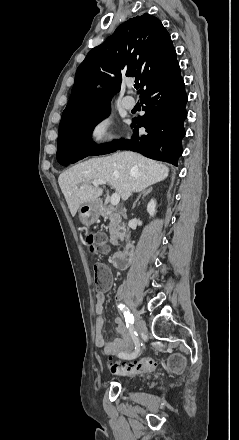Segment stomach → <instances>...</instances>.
Masks as SVG:
<instances>
[{
	"label": "stomach",
	"instance_id": "1",
	"mask_svg": "<svg viewBox=\"0 0 239 440\" xmlns=\"http://www.w3.org/2000/svg\"><path fill=\"white\" fill-rule=\"evenodd\" d=\"M102 204L100 200H90V202H84L79 208V220L83 226L89 228L91 224H94L98 220L100 214H102Z\"/></svg>",
	"mask_w": 239,
	"mask_h": 440
}]
</instances>
